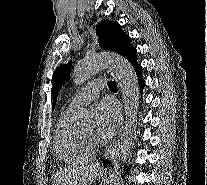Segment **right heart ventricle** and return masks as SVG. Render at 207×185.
I'll return each mask as SVG.
<instances>
[{
	"label": "right heart ventricle",
	"instance_id": "obj_1",
	"mask_svg": "<svg viewBox=\"0 0 207 185\" xmlns=\"http://www.w3.org/2000/svg\"><path fill=\"white\" fill-rule=\"evenodd\" d=\"M55 144L61 158L69 164L91 162L98 150L94 140L72 124L71 110L63 112L59 118Z\"/></svg>",
	"mask_w": 207,
	"mask_h": 185
}]
</instances>
